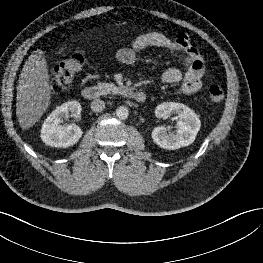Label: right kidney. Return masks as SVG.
Instances as JSON below:
<instances>
[{"label": "right kidney", "mask_w": 263, "mask_h": 263, "mask_svg": "<svg viewBox=\"0 0 263 263\" xmlns=\"http://www.w3.org/2000/svg\"><path fill=\"white\" fill-rule=\"evenodd\" d=\"M81 104L68 101L58 106L44 121L41 128L42 141L51 147L67 148L76 144L82 137V130L76 124L61 125L64 118H78L81 114Z\"/></svg>", "instance_id": "1"}]
</instances>
